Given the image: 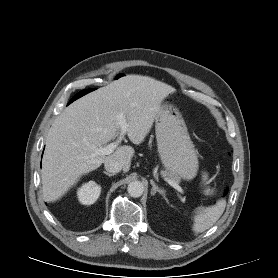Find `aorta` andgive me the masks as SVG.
Instances as JSON below:
<instances>
[{"instance_id": "aorta-1", "label": "aorta", "mask_w": 278, "mask_h": 278, "mask_svg": "<svg viewBox=\"0 0 278 278\" xmlns=\"http://www.w3.org/2000/svg\"><path fill=\"white\" fill-rule=\"evenodd\" d=\"M127 191L131 197L138 198L142 196L144 186L140 181H132L129 183Z\"/></svg>"}]
</instances>
